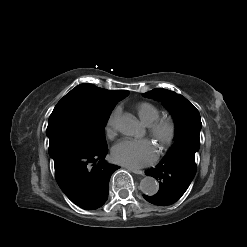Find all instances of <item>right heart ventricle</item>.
Masks as SVG:
<instances>
[{
	"label": "right heart ventricle",
	"instance_id": "1",
	"mask_svg": "<svg viewBox=\"0 0 247 247\" xmlns=\"http://www.w3.org/2000/svg\"><path fill=\"white\" fill-rule=\"evenodd\" d=\"M140 120L146 125L152 123L160 116V109L150 102H140L136 106Z\"/></svg>",
	"mask_w": 247,
	"mask_h": 247
}]
</instances>
